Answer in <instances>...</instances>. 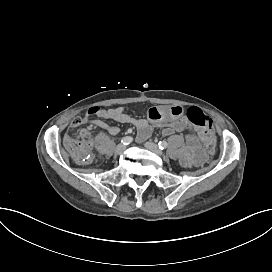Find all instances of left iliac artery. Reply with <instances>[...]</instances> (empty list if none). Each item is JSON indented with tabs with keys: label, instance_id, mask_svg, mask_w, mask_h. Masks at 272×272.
I'll return each mask as SVG.
<instances>
[{
	"label": "left iliac artery",
	"instance_id": "obj_1",
	"mask_svg": "<svg viewBox=\"0 0 272 272\" xmlns=\"http://www.w3.org/2000/svg\"><path fill=\"white\" fill-rule=\"evenodd\" d=\"M158 146L161 150L166 149L168 147V143L166 141H160Z\"/></svg>",
	"mask_w": 272,
	"mask_h": 272
}]
</instances>
